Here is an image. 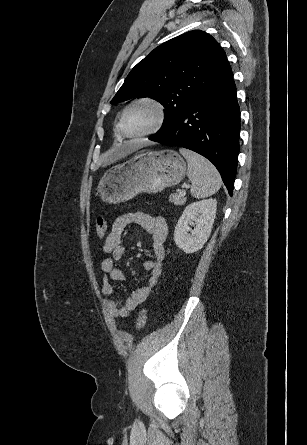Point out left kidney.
Listing matches in <instances>:
<instances>
[{"label": "left kidney", "instance_id": "obj_1", "mask_svg": "<svg viewBox=\"0 0 307 445\" xmlns=\"http://www.w3.org/2000/svg\"><path fill=\"white\" fill-rule=\"evenodd\" d=\"M216 206L215 198L198 200L186 206L174 231V241L184 253H196L208 241L216 216ZM189 225H195L194 231H191Z\"/></svg>", "mask_w": 307, "mask_h": 445}]
</instances>
